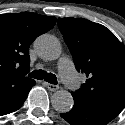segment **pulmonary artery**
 I'll use <instances>...</instances> for the list:
<instances>
[{
    "mask_svg": "<svg viewBox=\"0 0 125 125\" xmlns=\"http://www.w3.org/2000/svg\"><path fill=\"white\" fill-rule=\"evenodd\" d=\"M59 73L61 79L69 88H74L78 85V77L73 68L72 61L68 57H63L60 59L58 64Z\"/></svg>",
    "mask_w": 125,
    "mask_h": 125,
    "instance_id": "e3ab8cb5",
    "label": "pulmonary artery"
}]
</instances>
